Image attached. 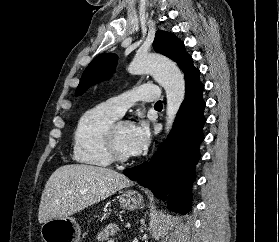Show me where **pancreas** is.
<instances>
[{
	"label": "pancreas",
	"mask_w": 279,
	"mask_h": 242,
	"mask_svg": "<svg viewBox=\"0 0 279 242\" xmlns=\"http://www.w3.org/2000/svg\"><path fill=\"white\" fill-rule=\"evenodd\" d=\"M119 231V227L115 223H111L104 227L102 231L97 234L98 242H103L109 239V237L114 236L116 232Z\"/></svg>",
	"instance_id": "cf45deb5"
}]
</instances>
